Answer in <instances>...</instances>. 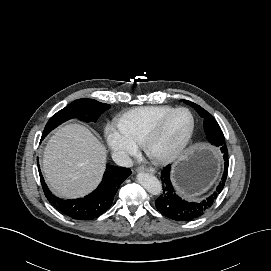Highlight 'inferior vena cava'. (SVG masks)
<instances>
[{
    "instance_id": "obj_1",
    "label": "inferior vena cava",
    "mask_w": 271,
    "mask_h": 271,
    "mask_svg": "<svg viewBox=\"0 0 271 271\" xmlns=\"http://www.w3.org/2000/svg\"><path fill=\"white\" fill-rule=\"evenodd\" d=\"M113 161L122 167H132L133 161L126 152L117 151L112 153Z\"/></svg>"
}]
</instances>
